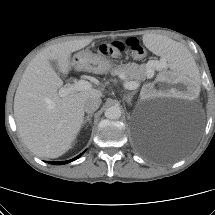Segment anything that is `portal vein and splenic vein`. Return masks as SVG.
Segmentation results:
<instances>
[{
    "instance_id": "1",
    "label": "portal vein and splenic vein",
    "mask_w": 215,
    "mask_h": 215,
    "mask_svg": "<svg viewBox=\"0 0 215 215\" xmlns=\"http://www.w3.org/2000/svg\"><path fill=\"white\" fill-rule=\"evenodd\" d=\"M163 66H167L166 62H163ZM122 79H125L123 75H120ZM139 87V84L135 81H126L124 83V88L128 90H135ZM91 88V84L85 80H79L74 82L73 84H69L59 89L60 96H66L70 93L77 91L89 90Z\"/></svg>"
}]
</instances>
